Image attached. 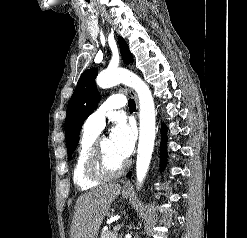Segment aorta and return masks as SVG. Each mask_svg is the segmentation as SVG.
Instances as JSON below:
<instances>
[{"mask_svg":"<svg viewBox=\"0 0 247 238\" xmlns=\"http://www.w3.org/2000/svg\"><path fill=\"white\" fill-rule=\"evenodd\" d=\"M101 88H110L119 83L132 87L139 98L140 135L137 150L136 177L141 185L149 169L155 141V106L148 85L134 73L125 69L105 70L96 79Z\"/></svg>","mask_w":247,"mask_h":238,"instance_id":"1","label":"aorta"}]
</instances>
